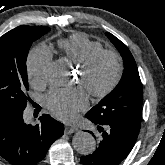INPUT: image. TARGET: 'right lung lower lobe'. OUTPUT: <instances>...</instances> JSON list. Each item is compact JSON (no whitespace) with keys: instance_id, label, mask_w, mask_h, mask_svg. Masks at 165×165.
<instances>
[{"instance_id":"right-lung-lower-lobe-1","label":"right lung lower lobe","mask_w":165,"mask_h":165,"mask_svg":"<svg viewBox=\"0 0 165 165\" xmlns=\"http://www.w3.org/2000/svg\"><path fill=\"white\" fill-rule=\"evenodd\" d=\"M40 124L26 125L23 111L0 114V156L12 165H36L51 144L63 135L64 125L48 114Z\"/></svg>"}]
</instances>
